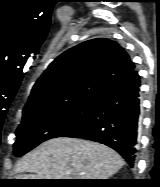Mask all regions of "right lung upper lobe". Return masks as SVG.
<instances>
[{
  "instance_id": "right-lung-upper-lobe-1",
  "label": "right lung upper lobe",
  "mask_w": 160,
  "mask_h": 187,
  "mask_svg": "<svg viewBox=\"0 0 160 187\" xmlns=\"http://www.w3.org/2000/svg\"><path fill=\"white\" fill-rule=\"evenodd\" d=\"M135 70L126 51L106 38L85 41L58 56L37 80L23 112L74 99H100Z\"/></svg>"
}]
</instances>
